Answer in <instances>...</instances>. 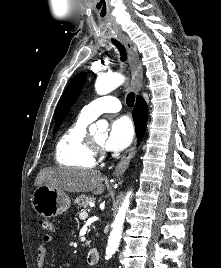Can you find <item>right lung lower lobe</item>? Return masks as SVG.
Instances as JSON below:
<instances>
[{
  "label": "right lung lower lobe",
  "mask_w": 221,
  "mask_h": 268,
  "mask_svg": "<svg viewBox=\"0 0 221 268\" xmlns=\"http://www.w3.org/2000/svg\"><path fill=\"white\" fill-rule=\"evenodd\" d=\"M133 119L137 137L141 139L144 135L146 123L148 120V109L146 102L140 96L137 97L136 104L133 109Z\"/></svg>",
  "instance_id": "1"
}]
</instances>
